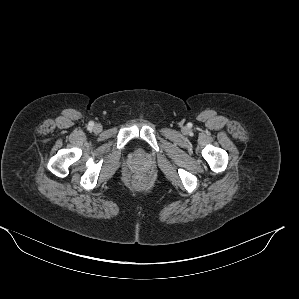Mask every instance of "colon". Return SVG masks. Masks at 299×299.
Segmentation results:
<instances>
[{"label":"colon","mask_w":299,"mask_h":299,"mask_svg":"<svg viewBox=\"0 0 299 299\" xmlns=\"http://www.w3.org/2000/svg\"><path fill=\"white\" fill-rule=\"evenodd\" d=\"M135 183L138 186H143L146 183V179L144 176H137L135 179Z\"/></svg>","instance_id":"colon-1"}]
</instances>
